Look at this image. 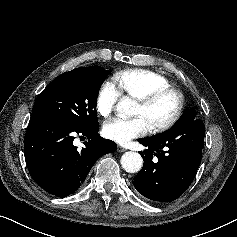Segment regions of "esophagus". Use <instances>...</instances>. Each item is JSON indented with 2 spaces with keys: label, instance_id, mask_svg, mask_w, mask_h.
I'll return each mask as SVG.
<instances>
[{
  "label": "esophagus",
  "instance_id": "obj_1",
  "mask_svg": "<svg viewBox=\"0 0 237 237\" xmlns=\"http://www.w3.org/2000/svg\"><path fill=\"white\" fill-rule=\"evenodd\" d=\"M117 151H118V152H125V151H126V148H124V147L118 145V146H117Z\"/></svg>",
  "mask_w": 237,
  "mask_h": 237
}]
</instances>
